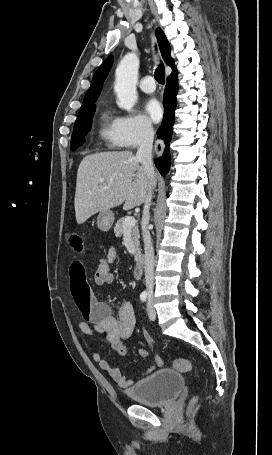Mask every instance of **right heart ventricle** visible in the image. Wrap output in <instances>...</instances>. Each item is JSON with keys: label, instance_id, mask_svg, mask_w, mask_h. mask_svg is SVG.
Returning a JSON list of instances; mask_svg holds the SVG:
<instances>
[{"label": "right heart ventricle", "instance_id": "e07e8e85", "mask_svg": "<svg viewBox=\"0 0 272 455\" xmlns=\"http://www.w3.org/2000/svg\"><path fill=\"white\" fill-rule=\"evenodd\" d=\"M116 119L107 110L100 115L99 135L109 148L120 147L116 134Z\"/></svg>", "mask_w": 272, "mask_h": 455}]
</instances>
